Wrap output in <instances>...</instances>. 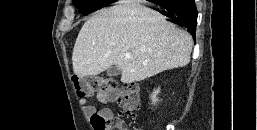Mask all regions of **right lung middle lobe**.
Masks as SVG:
<instances>
[{
    "label": "right lung middle lobe",
    "instance_id": "1",
    "mask_svg": "<svg viewBox=\"0 0 257 130\" xmlns=\"http://www.w3.org/2000/svg\"><path fill=\"white\" fill-rule=\"evenodd\" d=\"M73 3L79 9L80 13L87 15L95 9L109 5L111 2L107 0H73Z\"/></svg>",
    "mask_w": 257,
    "mask_h": 130
}]
</instances>
